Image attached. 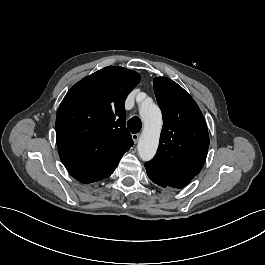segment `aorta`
<instances>
[{"mask_svg": "<svg viewBox=\"0 0 265 265\" xmlns=\"http://www.w3.org/2000/svg\"><path fill=\"white\" fill-rule=\"evenodd\" d=\"M143 130L137 145L142 160L151 159L158 148L161 130V111L154 104L143 103L140 108Z\"/></svg>", "mask_w": 265, "mask_h": 265, "instance_id": "1", "label": "aorta"}]
</instances>
